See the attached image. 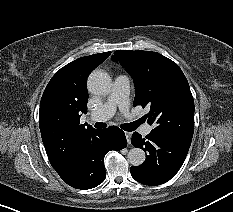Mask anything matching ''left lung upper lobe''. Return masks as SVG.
I'll list each match as a JSON object with an SVG mask.
<instances>
[{"label": "left lung upper lobe", "instance_id": "left-lung-upper-lobe-1", "mask_svg": "<svg viewBox=\"0 0 233 212\" xmlns=\"http://www.w3.org/2000/svg\"><path fill=\"white\" fill-rule=\"evenodd\" d=\"M112 60L126 68L134 79L133 106L150 108L144 118L154 125L151 132L192 140L194 100L180 67L152 51L117 50Z\"/></svg>", "mask_w": 233, "mask_h": 212}]
</instances>
